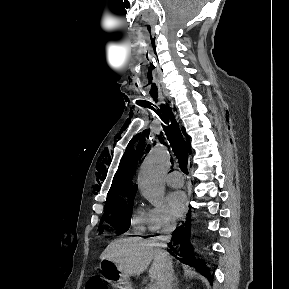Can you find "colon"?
I'll return each instance as SVG.
<instances>
[{
  "label": "colon",
  "instance_id": "colon-1",
  "mask_svg": "<svg viewBox=\"0 0 289 289\" xmlns=\"http://www.w3.org/2000/svg\"><path fill=\"white\" fill-rule=\"evenodd\" d=\"M86 289H109V286L103 279L93 277L87 282Z\"/></svg>",
  "mask_w": 289,
  "mask_h": 289
}]
</instances>
